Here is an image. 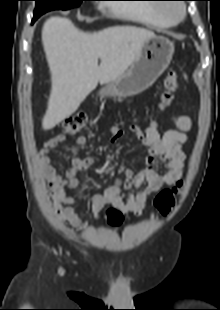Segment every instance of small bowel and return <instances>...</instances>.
<instances>
[{
  "instance_id": "small-bowel-1",
  "label": "small bowel",
  "mask_w": 220,
  "mask_h": 310,
  "mask_svg": "<svg viewBox=\"0 0 220 310\" xmlns=\"http://www.w3.org/2000/svg\"><path fill=\"white\" fill-rule=\"evenodd\" d=\"M171 121L178 128L160 134L158 121H152L145 131L138 126L130 130L143 142L147 157L145 168L135 173L125 162L119 165L121 176L117 178L103 194L89 196L90 209L97 216L106 206H113L124 214L139 216L145 208L148 197L164 187L179 182L184 173L185 153L183 145L187 140L186 132L191 128V119L186 115H174ZM124 131L119 126L110 128L109 143H116ZM65 141L63 134H58L44 142L38 152L39 162L46 176L59 187L54 191V208L59 218L73 228H80L82 223L74 209L75 199L68 191L79 187L78 174L86 171L95 162L93 157L73 159V164L64 174H58L53 166L50 153ZM76 143L80 147L87 145L85 136H78ZM156 160H161L166 173L160 174L153 168ZM124 189V192L122 191Z\"/></svg>"
}]
</instances>
